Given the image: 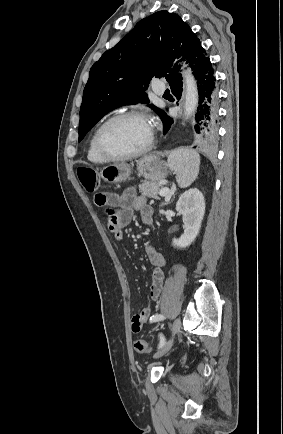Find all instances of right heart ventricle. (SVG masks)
<instances>
[{
	"label": "right heart ventricle",
	"mask_w": 283,
	"mask_h": 434,
	"mask_svg": "<svg viewBox=\"0 0 283 434\" xmlns=\"http://www.w3.org/2000/svg\"><path fill=\"white\" fill-rule=\"evenodd\" d=\"M87 157H88L89 161H91L92 163H95V164H104V163L108 162L107 159L103 158L97 152L95 145H94V134L91 136L90 141H89L88 150H87Z\"/></svg>",
	"instance_id": "e07e8e85"
}]
</instances>
